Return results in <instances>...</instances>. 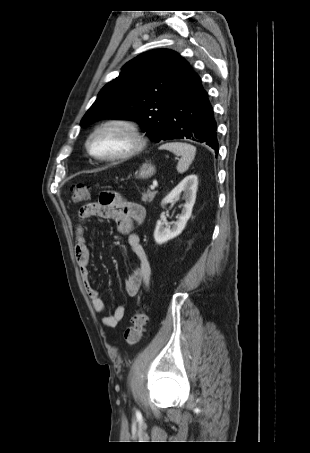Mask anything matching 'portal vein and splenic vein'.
Instances as JSON below:
<instances>
[{"mask_svg":"<svg viewBox=\"0 0 310 453\" xmlns=\"http://www.w3.org/2000/svg\"><path fill=\"white\" fill-rule=\"evenodd\" d=\"M157 182L154 181L153 184L150 186L151 190H154L156 188Z\"/></svg>","mask_w":310,"mask_h":453,"instance_id":"1","label":"portal vein and splenic vein"}]
</instances>
